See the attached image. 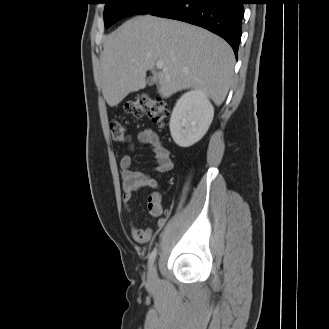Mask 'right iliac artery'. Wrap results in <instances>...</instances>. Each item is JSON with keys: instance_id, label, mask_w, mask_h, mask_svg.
Masks as SVG:
<instances>
[{"instance_id": "right-iliac-artery-1", "label": "right iliac artery", "mask_w": 329, "mask_h": 329, "mask_svg": "<svg viewBox=\"0 0 329 329\" xmlns=\"http://www.w3.org/2000/svg\"><path fill=\"white\" fill-rule=\"evenodd\" d=\"M156 255H157V249L155 248L151 254H150V257H149V261H148V265L151 267L152 264L154 263V260L156 258Z\"/></svg>"}]
</instances>
